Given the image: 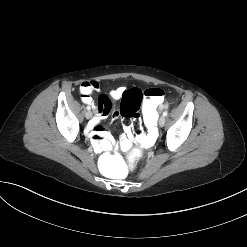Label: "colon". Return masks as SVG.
Here are the masks:
<instances>
[{"instance_id":"1","label":"colon","mask_w":247,"mask_h":247,"mask_svg":"<svg viewBox=\"0 0 247 247\" xmlns=\"http://www.w3.org/2000/svg\"><path fill=\"white\" fill-rule=\"evenodd\" d=\"M164 92L159 88H148L143 92L133 88L124 92L120 115L130 136L144 147H151L159 136V122L155 119L157 109L162 105ZM146 118V134H142L140 108ZM99 170L108 177L123 180L137 174L142 168V159L135 152L120 154L115 150L104 152L98 159Z\"/></svg>"}]
</instances>
